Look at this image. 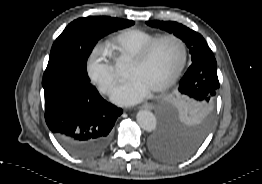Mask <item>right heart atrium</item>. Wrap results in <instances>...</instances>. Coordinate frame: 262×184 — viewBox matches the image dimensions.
I'll list each match as a JSON object with an SVG mask.
<instances>
[{"instance_id":"right-heart-atrium-1","label":"right heart atrium","mask_w":262,"mask_h":184,"mask_svg":"<svg viewBox=\"0 0 262 184\" xmlns=\"http://www.w3.org/2000/svg\"><path fill=\"white\" fill-rule=\"evenodd\" d=\"M86 70L90 81L104 94L109 93L118 80L111 58L102 45H96L90 52Z\"/></svg>"}]
</instances>
